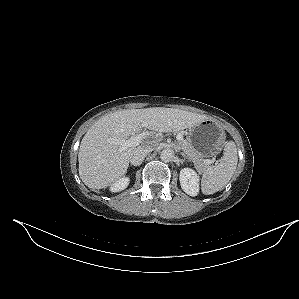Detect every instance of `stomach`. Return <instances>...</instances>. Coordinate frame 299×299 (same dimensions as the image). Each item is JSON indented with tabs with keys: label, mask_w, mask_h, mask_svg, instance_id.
<instances>
[{
	"label": "stomach",
	"mask_w": 299,
	"mask_h": 299,
	"mask_svg": "<svg viewBox=\"0 0 299 299\" xmlns=\"http://www.w3.org/2000/svg\"><path fill=\"white\" fill-rule=\"evenodd\" d=\"M225 138L223 128L213 120L206 119L189 128L187 140L203 157H213L222 150Z\"/></svg>",
	"instance_id": "obj_1"
}]
</instances>
